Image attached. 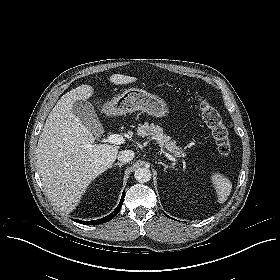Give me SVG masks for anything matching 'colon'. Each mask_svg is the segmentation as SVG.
<instances>
[{
    "label": "colon",
    "instance_id": "5ec220e1",
    "mask_svg": "<svg viewBox=\"0 0 280 280\" xmlns=\"http://www.w3.org/2000/svg\"><path fill=\"white\" fill-rule=\"evenodd\" d=\"M199 112L203 122L211 131L218 152L223 156H227L231 151V143L229 132L223 123L220 113L206 101L200 102Z\"/></svg>",
    "mask_w": 280,
    "mask_h": 280
}]
</instances>
